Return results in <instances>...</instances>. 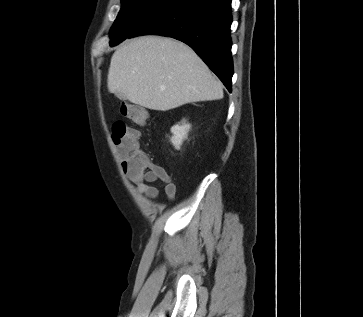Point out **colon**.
<instances>
[{"instance_id": "1", "label": "colon", "mask_w": 363, "mask_h": 317, "mask_svg": "<svg viewBox=\"0 0 363 317\" xmlns=\"http://www.w3.org/2000/svg\"><path fill=\"white\" fill-rule=\"evenodd\" d=\"M123 118L142 126L146 123L147 112L133 103H122L119 107ZM111 140L117 147L123 168L139 170L145 164V156L139 152V131L129 127L124 120H117L112 126Z\"/></svg>"}]
</instances>
